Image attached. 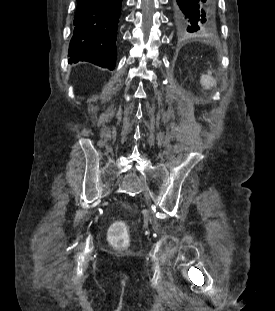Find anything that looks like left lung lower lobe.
Segmentation results:
<instances>
[{
	"label": "left lung lower lobe",
	"instance_id": "0a47b994",
	"mask_svg": "<svg viewBox=\"0 0 275 311\" xmlns=\"http://www.w3.org/2000/svg\"><path fill=\"white\" fill-rule=\"evenodd\" d=\"M173 8L179 36L208 33L216 29L214 0H173Z\"/></svg>",
	"mask_w": 275,
	"mask_h": 311
}]
</instances>
